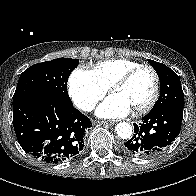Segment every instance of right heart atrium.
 I'll return each mask as SVG.
<instances>
[{
  "label": "right heart atrium",
  "mask_w": 196,
  "mask_h": 196,
  "mask_svg": "<svg viewBox=\"0 0 196 196\" xmlns=\"http://www.w3.org/2000/svg\"><path fill=\"white\" fill-rule=\"evenodd\" d=\"M105 89L90 70L76 68L69 78V95L82 111L89 112L105 96Z\"/></svg>",
  "instance_id": "d8ad5b80"
}]
</instances>
